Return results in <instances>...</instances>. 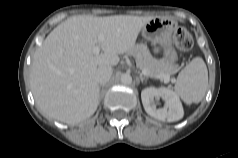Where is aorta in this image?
Listing matches in <instances>:
<instances>
[{
	"label": "aorta",
	"instance_id": "obj_1",
	"mask_svg": "<svg viewBox=\"0 0 238 158\" xmlns=\"http://www.w3.org/2000/svg\"><path fill=\"white\" fill-rule=\"evenodd\" d=\"M121 82L124 84V85H129L132 83V77L131 75L129 74H123L121 76Z\"/></svg>",
	"mask_w": 238,
	"mask_h": 158
}]
</instances>
